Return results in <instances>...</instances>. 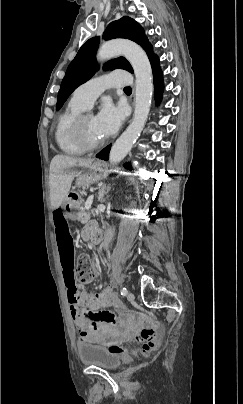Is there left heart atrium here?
<instances>
[{"label":"left heart atrium","mask_w":243,"mask_h":404,"mask_svg":"<svg viewBox=\"0 0 243 404\" xmlns=\"http://www.w3.org/2000/svg\"><path fill=\"white\" fill-rule=\"evenodd\" d=\"M122 114L110 100H105L98 114L95 116L96 132L101 140L108 139L115 134L121 124Z\"/></svg>","instance_id":"obj_1"}]
</instances>
